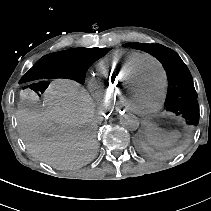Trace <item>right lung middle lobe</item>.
I'll return each mask as SVG.
<instances>
[{
	"instance_id": "dd1d6c3e",
	"label": "right lung middle lobe",
	"mask_w": 211,
	"mask_h": 211,
	"mask_svg": "<svg viewBox=\"0 0 211 211\" xmlns=\"http://www.w3.org/2000/svg\"><path fill=\"white\" fill-rule=\"evenodd\" d=\"M109 51L108 48H76L67 50L65 52H71L75 55V59L78 64L77 72L68 78L74 79L79 83L84 82L85 73L88 68L99 58L104 56ZM58 75H51L47 78H57Z\"/></svg>"
}]
</instances>
